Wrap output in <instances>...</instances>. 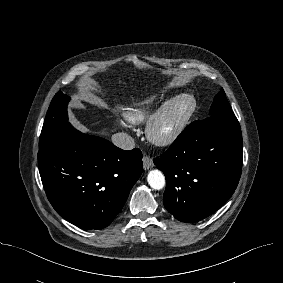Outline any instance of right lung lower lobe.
Masks as SVG:
<instances>
[{"instance_id": "98d812e1", "label": "right lung lower lobe", "mask_w": 283, "mask_h": 283, "mask_svg": "<svg viewBox=\"0 0 283 283\" xmlns=\"http://www.w3.org/2000/svg\"><path fill=\"white\" fill-rule=\"evenodd\" d=\"M38 165L53 208L83 229L108 226L143 170L139 149L124 151L70 124L39 150Z\"/></svg>"}]
</instances>
